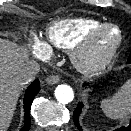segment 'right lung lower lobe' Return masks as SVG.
<instances>
[{
	"instance_id": "obj_1",
	"label": "right lung lower lobe",
	"mask_w": 131,
	"mask_h": 131,
	"mask_svg": "<svg viewBox=\"0 0 131 131\" xmlns=\"http://www.w3.org/2000/svg\"><path fill=\"white\" fill-rule=\"evenodd\" d=\"M40 90L39 80L36 79L32 84L27 88L24 96V112H25V123L23 128L20 131H29L31 118H30V108L33 102L34 97L38 94Z\"/></svg>"
}]
</instances>
